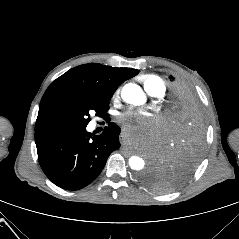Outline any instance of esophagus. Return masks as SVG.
<instances>
[{"label": "esophagus", "mask_w": 239, "mask_h": 239, "mask_svg": "<svg viewBox=\"0 0 239 239\" xmlns=\"http://www.w3.org/2000/svg\"><path fill=\"white\" fill-rule=\"evenodd\" d=\"M118 137H119V139H120V140H122V141H123V140H125V138H126V137H125V135H124V134H122V133H121V134H119V136H118Z\"/></svg>", "instance_id": "obj_1"}]
</instances>
